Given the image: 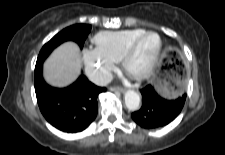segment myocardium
Returning <instances> with one entry per match:
<instances>
[{"mask_svg":"<svg viewBox=\"0 0 225 155\" xmlns=\"http://www.w3.org/2000/svg\"><path fill=\"white\" fill-rule=\"evenodd\" d=\"M154 35L158 38V46L157 49L154 53V55L152 56V58L150 59V61L148 62V64L146 65V67L139 71V72H132L130 70V62L132 60V58L134 57L140 43L148 36ZM162 48H163V41L161 36L154 31H144L143 33H141L139 36H137L125 49V51L123 52L121 59H120V63L122 68L124 69V71L130 75L131 77H133L136 80H143L147 77H149L151 75V73L153 72V70L155 69L159 58L161 56V52H162Z\"/></svg>","mask_w":225,"mask_h":155,"instance_id":"myocardium-1","label":"myocardium"}]
</instances>
